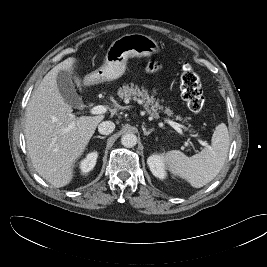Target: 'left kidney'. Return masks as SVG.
<instances>
[{"label":"left kidney","mask_w":267,"mask_h":267,"mask_svg":"<svg viewBox=\"0 0 267 267\" xmlns=\"http://www.w3.org/2000/svg\"><path fill=\"white\" fill-rule=\"evenodd\" d=\"M147 164L149 165V168L152 172V174L159 178V179H165L167 176L166 170H165V159L163 155L159 154H153L147 159Z\"/></svg>","instance_id":"5707ae66"}]
</instances>
